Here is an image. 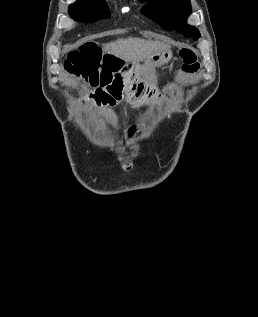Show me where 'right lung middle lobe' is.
<instances>
[{
	"label": "right lung middle lobe",
	"instance_id": "dd1d6c3e",
	"mask_svg": "<svg viewBox=\"0 0 258 317\" xmlns=\"http://www.w3.org/2000/svg\"><path fill=\"white\" fill-rule=\"evenodd\" d=\"M69 14L72 18L82 22H94L110 17L105 0H77L69 6Z\"/></svg>",
	"mask_w": 258,
	"mask_h": 317
}]
</instances>
